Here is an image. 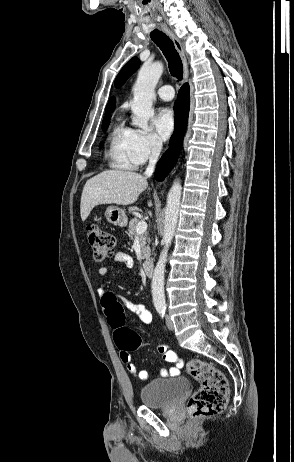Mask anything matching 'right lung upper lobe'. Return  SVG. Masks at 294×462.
<instances>
[{
  "instance_id": "cb5924a9",
  "label": "right lung upper lobe",
  "mask_w": 294,
  "mask_h": 462,
  "mask_svg": "<svg viewBox=\"0 0 294 462\" xmlns=\"http://www.w3.org/2000/svg\"><path fill=\"white\" fill-rule=\"evenodd\" d=\"M114 108H115V98L112 97L109 100V103L106 106V113L109 114V113L113 112Z\"/></svg>"
}]
</instances>
